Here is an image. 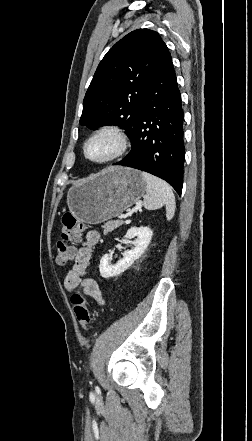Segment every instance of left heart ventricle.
<instances>
[{
	"label": "left heart ventricle",
	"mask_w": 252,
	"mask_h": 441,
	"mask_svg": "<svg viewBox=\"0 0 252 441\" xmlns=\"http://www.w3.org/2000/svg\"><path fill=\"white\" fill-rule=\"evenodd\" d=\"M116 148V141L111 136H100L87 146V153L92 159H103L111 155Z\"/></svg>",
	"instance_id": "obj_1"
}]
</instances>
